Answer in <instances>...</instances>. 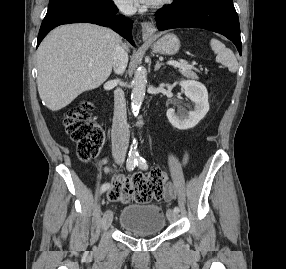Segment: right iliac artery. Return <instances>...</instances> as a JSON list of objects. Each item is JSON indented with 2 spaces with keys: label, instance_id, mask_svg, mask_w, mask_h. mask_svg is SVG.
<instances>
[{
  "label": "right iliac artery",
  "instance_id": "1",
  "mask_svg": "<svg viewBox=\"0 0 286 269\" xmlns=\"http://www.w3.org/2000/svg\"><path fill=\"white\" fill-rule=\"evenodd\" d=\"M135 165H136L135 158L130 157L127 159L126 166L129 171L133 170L135 168ZM109 187H110L109 183H104L101 187V192H105L107 189H109Z\"/></svg>",
  "mask_w": 286,
  "mask_h": 269
}]
</instances>
